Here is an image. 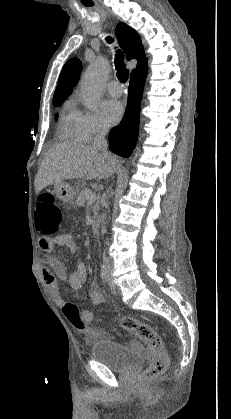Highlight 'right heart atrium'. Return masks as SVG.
<instances>
[{
    "instance_id": "right-heart-atrium-1",
    "label": "right heart atrium",
    "mask_w": 231,
    "mask_h": 419,
    "mask_svg": "<svg viewBox=\"0 0 231 419\" xmlns=\"http://www.w3.org/2000/svg\"><path fill=\"white\" fill-rule=\"evenodd\" d=\"M79 128L85 141L107 132V125L97 112L83 111L79 114Z\"/></svg>"
}]
</instances>
